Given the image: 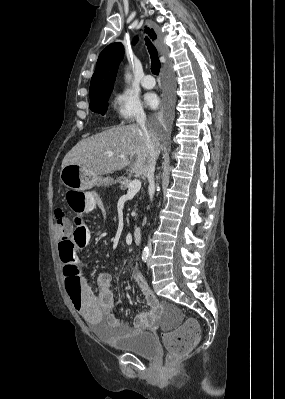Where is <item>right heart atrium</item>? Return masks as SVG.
<instances>
[{
	"label": "right heart atrium",
	"mask_w": 285,
	"mask_h": 399,
	"mask_svg": "<svg viewBox=\"0 0 285 399\" xmlns=\"http://www.w3.org/2000/svg\"><path fill=\"white\" fill-rule=\"evenodd\" d=\"M113 102L120 123L142 120L146 116L140 100L129 90L116 93Z\"/></svg>",
	"instance_id": "d8ad5b80"
}]
</instances>
